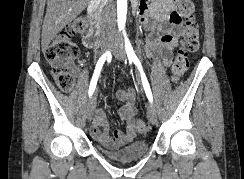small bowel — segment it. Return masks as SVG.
Here are the masks:
<instances>
[{"label": "small bowel", "instance_id": "c3829d8e", "mask_svg": "<svg viewBox=\"0 0 244 179\" xmlns=\"http://www.w3.org/2000/svg\"><path fill=\"white\" fill-rule=\"evenodd\" d=\"M138 19L146 31L145 55L148 60L168 66L173 59L176 40L181 34L178 13L171 0L140 1L137 7ZM83 44L92 48L89 35L83 37ZM79 74L80 71L76 70ZM117 97L124 105L118 115L125 125L124 130H112L113 120L106 117L101 109L94 110L92 132L94 138L106 147H120L135 138V115L137 111L134 89L121 90Z\"/></svg>", "mask_w": 244, "mask_h": 179}]
</instances>
